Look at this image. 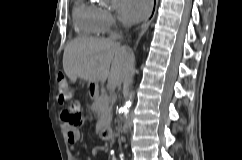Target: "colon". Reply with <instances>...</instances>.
<instances>
[{"mask_svg":"<svg viewBox=\"0 0 242 160\" xmlns=\"http://www.w3.org/2000/svg\"><path fill=\"white\" fill-rule=\"evenodd\" d=\"M71 88L69 84L67 83L65 77L63 75H60L58 78V93H57V100L59 104L64 105L71 99ZM72 106V105H70ZM69 106V107H70ZM68 107V108H69ZM66 108L65 117L67 118V121L70 122L72 125H79L81 122L80 113L76 109H68Z\"/></svg>","mask_w":242,"mask_h":160,"instance_id":"5ec220e1","label":"colon"}]
</instances>
